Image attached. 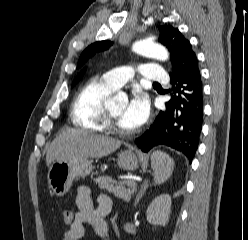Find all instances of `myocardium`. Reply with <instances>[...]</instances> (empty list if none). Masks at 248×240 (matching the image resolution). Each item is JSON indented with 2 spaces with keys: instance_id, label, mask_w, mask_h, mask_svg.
Segmentation results:
<instances>
[{
  "instance_id": "obj_1",
  "label": "myocardium",
  "mask_w": 248,
  "mask_h": 240,
  "mask_svg": "<svg viewBox=\"0 0 248 240\" xmlns=\"http://www.w3.org/2000/svg\"><path fill=\"white\" fill-rule=\"evenodd\" d=\"M104 123L105 127L111 131H114L118 134H129L132 130L123 129L120 125L116 122L115 118L110 113L108 108L104 110Z\"/></svg>"
}]
</instances>
